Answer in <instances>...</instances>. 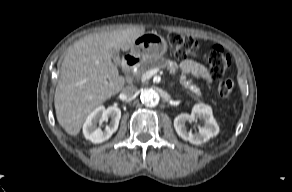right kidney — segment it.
<instances>
[{"label":"right kidney","instance_id":"obj_1","mask_svg":"<svg viewBox=\"0 0 292 192\" xmlns=\"http://www.w3.org/2000/svg\"><path fill=\"white\" fill-rule=\"evenodd\" d=\"M109 118L111 121L104 130L97 126L98 123L108 121ZM120 118L121 110L118 107L110 106L105 109L104 106H98L88 115L83 125V134L87 140L95 144L102 143L116 132Z\"/></svg>","mask_w":292,"mask_h":192}]
</instances>
